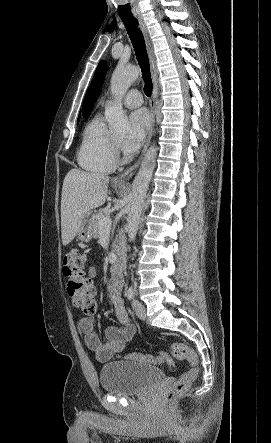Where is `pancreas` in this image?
<instances>
[{
    "instance_id": "cf45deb5",
    "label": "pancreas",
    "mask_w": 271,
    "mask_h": 443,
    "mask_svg": "<svg viewBox=\"0 0 271 443\" xmlns=\"http://www.w3.org/2000/svg\"><path fill=\"white\" fill-rule=\"evenodd\" d=\"M107 216H109L108 210H102V208L101 210H99V212H97V214H95V218L94 220H92L93 237H99L100 231H102V229H106V227L100 225V220H103V218H107Z\"/></svg>"
}]
</instances>
